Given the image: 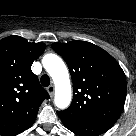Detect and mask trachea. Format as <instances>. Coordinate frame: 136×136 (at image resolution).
<instances>
[{
  "label": "trachea",
  "instance_id": "trachea-1",
  "mask_svg": "<svg viewBox=\"0 0 136 136\" xmlns=\"http://www.w3.org/2000/svg\"><path fill=\"white\" fill-rule=\"evenodd\" d=\"M41 81V84L44 86V87H48L50 85V78L48 75H43L40 79Z\"/></svg>",
  "mask_w": 136,
  "mask_h": 136
}]
</instances>
